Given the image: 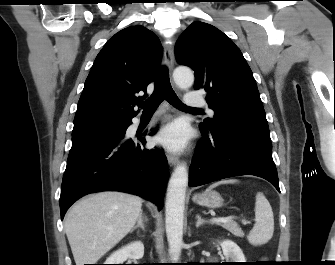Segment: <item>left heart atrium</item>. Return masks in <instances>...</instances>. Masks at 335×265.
I'll return each instance as SVG.
<instances>
[{
    "label": "left heart atrium",
    "mask_w": 335,
    "mask_h": 265,
    "mask_svg": "<svg viewBox=\"0 0 335 265\" xmlns=\"http://www.w3.org/2000/svg\"><path fill=\"white\" fill-rule=\"evenodd\" d=\"M187 138L185 125L181 122H174L160 131L157 141L171 150H180L186 145Z\"/></svg>",
    "instance_id": "left-heart-atrium-1"
}]
</instances>
